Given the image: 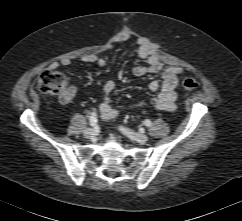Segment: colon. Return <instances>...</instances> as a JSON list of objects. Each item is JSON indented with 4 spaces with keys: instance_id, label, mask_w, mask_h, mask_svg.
I'll use <instances>...</instances> for the list:
<instances>
[{
    "instance_id": "colon-1",
    "label": "colon",
    "mask_w": 242,
    "mask_h": 221,
    "mask_svg": "<svg viewBox=\"0 0 242 221\" xmlns=\"http://www.w3.org/2000/svg\"><path fill=\"white\" fill-rule=\"evenodd\" d=\"M37 84L43 93L58 96L62 101L69 98L65 76L57 70H43L38 76ZM181 85L186 90H194L198 87V82L193 77L184 76L181 79Z\"/></svg>"
}]
</instances>
